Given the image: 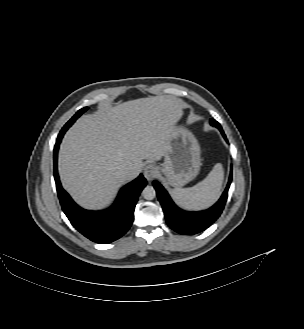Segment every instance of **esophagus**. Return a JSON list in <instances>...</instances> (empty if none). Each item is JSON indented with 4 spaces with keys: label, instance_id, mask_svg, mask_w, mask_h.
<instances>
[{
    "label": "esophagus",
    "instance_id": "esophagus-1",
    "mask_svg": "<svg viewBox=\"0 0 304 329\" xmlns=\"http://www.w3.org/2000/svg\"><path fill=\"white\" fill-rule=\"evenodd\" d=\"M144 176L148 181L153 180L157 174H158V170L157 167L153 164H148L145 168H144Z\"/></svg>",
    "mask_w": 304,
    "mask_h": 329
}]
</instances>
